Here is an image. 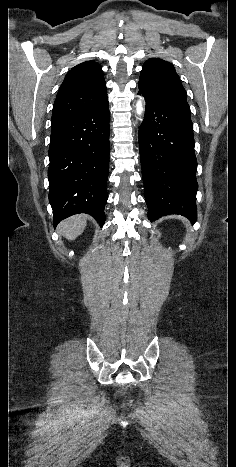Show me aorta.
Instances as JSON below:
<instances>
[{
	"label": "aorta",
	"instance_id": "obj_1",
	"mask_svg": "<svg viewBox=\"0 0 236 467\" xmlns=\"http://www.w3.org/2000/svg\"><path fill=\"white\" fill-rule=\"evenodd\" d=\"M143 111H144V107H143V103H142V101L140 99L136 103V112H137L138 115H141L143 113Z\"/></svg>",
	"mask_w": 236,
	"mask_h": 467
}]
</instances>
